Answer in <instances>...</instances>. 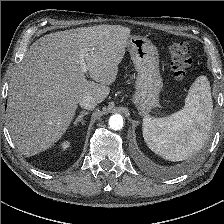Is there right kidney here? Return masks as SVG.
Returning <instances> with one entry per match:
<instances>
[{"label":"right kidney","instance_id":"right-kidney-1","mask_svg":"<svg viewBox=\"0 0 224 224\" xmlns=\"http://www.w3.org/2000/svg\"><path fill=\"white\" fill-rule=\"evenodd\" d=\"M69 144H70V143H69L68 141L63 142V143L61 144L62 149L64 150V149L68 148V147H69Z\"/></svg>","mask_w":224,"mask_h":224}]
</instances>
